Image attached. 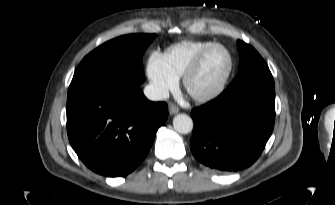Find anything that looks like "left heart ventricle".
Segmentation results:
<instances>
[{
  "instance_id": "1",
  "label": "left heart ventricle",
  "mask_w": 335,
  "mask_h": 205,
  "mask_svg": "<svg viewBox=\"0 0 335 205\" xmlns=\"http://www.w3.org/2000/svg\"><path fill=\"white\" fill-rule=\"evenodd\" d=\"M229 66L227 53L217 48L205 58L199 71L191 78L188 89L192 94L200 95L209 92L224 77Z\"/></svg>"
}]
</instances>
